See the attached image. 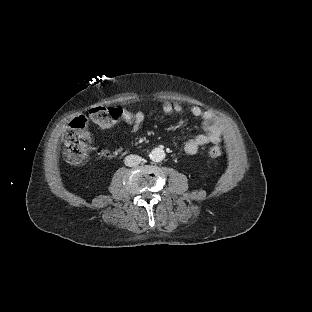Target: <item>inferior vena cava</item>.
<instances>
[{"label":"inferior vena cava","instance_id":"1","mask_svg":"<svg viewBox=\"0 0 312 312\" xmlns=\"http://www.w3.org/2000/svg\"><path fill=\"white\" fill-rule=\"evenodd\" d=\"M141 159L142 158L140 156L131 154V155L126 156L124 162L126 166L135 167L140 164Z\"/></svg>","mask_w":312,"mask_h":312}]
</instances>
